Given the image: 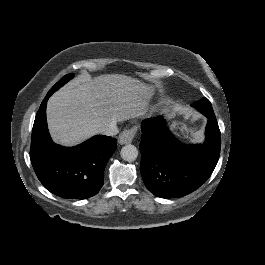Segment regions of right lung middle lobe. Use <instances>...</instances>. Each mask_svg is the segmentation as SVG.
Wrapping results in <instances>:
<instances>
[{
	"instance_id": "obj_1",
	"label": "right lung middle lobe",
	"mask_w": 265,
	"mask_h": 265,
	"mask_svg": "<svg viewBox=\"0 0 265 265\" xmlns=\"http://www.w3.org/2000/svg\"><path fill=\"white\" fill-rule=\"evenodd\" d=\"M74 77V74H68L63 76L48 92L49 95H52L55 91H57L60 87H62L65 83H67L70 79Z\"/></svg>"
}]
</instances>
